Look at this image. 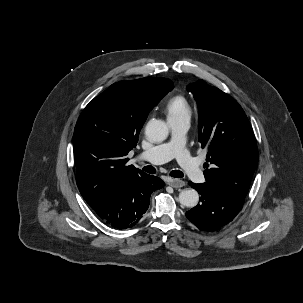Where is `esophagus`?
Here are the masks:
<instances>
[{"label": "esophagus", "mask_w": 303, "mask_h": 303, "mask_svg": "<svg viewBox=\"0 0 303 303\" xmlns=\"http://www.w3.org/2000/svg\"><path fill=\"white\" fill-rule=\"evenodd\" d=\"M167 184L173 188H181L185 186V182L180 179H175V178H169L167 180Z\"/></svg>", "instance_id": "1"}]
</instances>
